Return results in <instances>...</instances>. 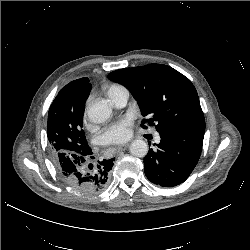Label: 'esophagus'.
<instances>
[{
  "label": "esophagus",
  "mask_w": 250,
  "mask_h": 250,
  "mask_svg": "<svg viewBox=\"0 0 250 250\" xmlns=\"http://www.w3.org/2000/svg\"><path fill=\"white\" fill-rule=\"evenodd\" d=\"M128 146H129V144H123V145L117 146L115 149L117 152H119V151H123V150L127 149Z\"/></svg>",
  "instance_id": "obj_1"
}]
</instances>
